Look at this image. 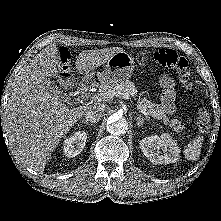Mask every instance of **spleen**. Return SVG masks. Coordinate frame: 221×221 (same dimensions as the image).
I'll list each match as a JSON object with an SVG mask.
<instances>
[{
    "mask_svg": "<svg viewBox=\"0 0 221 221\" xmlns=\"http://www.w3.org/2000/svg\"><path fill=\"white\" fill-rule=\"evenodd\" d=\"M203 140V136L199 135L187 145L186 149L184 150V154L187 159L196 161L199 158Z\"/></svg>",
    "mask_w": 221,
    "mask_h": 221,
    "instance_id": "obj_1",
    "label": "spleen"
}]
</instances>
